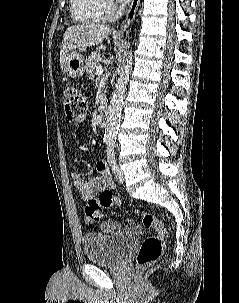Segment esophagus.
Returning <instances> with one entry per match:
<instances>
[{
    "mask_svg": "<svg viewBox=\"0 0 239 303\" xmlns=\"http://www.w3.org/2000/svg\"><path fill=\"white\" fill-rule=\"evenodd\" d=\"M139 4H140V0H132V3L128 9V12L126 14L124 21L121 24L120 29L115 33L116 36H118V37L123 36L125 28L131 25V23L133 22V20L135 18Z\"/></svg>",
    "mask_w": 239,
    "mask_h": 303,
    "instance_id": "1",
    "label": "esophagus"
}]
</instances>
